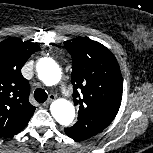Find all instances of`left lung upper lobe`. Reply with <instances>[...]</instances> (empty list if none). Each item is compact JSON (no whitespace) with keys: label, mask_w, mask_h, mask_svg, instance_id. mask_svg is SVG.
<instances>
[{"label":"left lung upper lobe","mask_w":153,"mask_h":153,"mask_svg":"<svg viewBox=\"0 0 153 153\" xmlns=\"http://www.w3.org/2000/svg\"><path fill=\"white\" fill-rule=\"evenodd\" d=\"M64 45L73 61V100L80 105L77 122L65 132L76 140L87 139L115 118L122 100V76L114 55L99 42L78 37Z\"/></svg>","instance_id":"left-lung-upper-lobe-1"}]
</instances>
